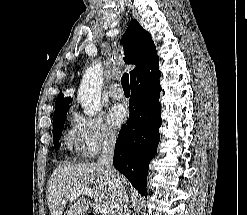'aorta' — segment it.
Masks as SVG:
<instances>
[{
	"label": "aorta",
	"instance_id": "762f6f07",
	"mask_svg": "<svg viewBox=\"0 0 247 215\" xmlns=\"http://www.w3.org/2000/svg\"><path fill=\"white\" fill-rule=\"evenodd\" d=\"M102 76L101 64L94 63L86 70L80 83L77 99L80 101L85 115L89 117L96 115L101 110Z\"/></svg>",
	"mask_w": 247,
	"mask_h": 215
}]
</instances>
